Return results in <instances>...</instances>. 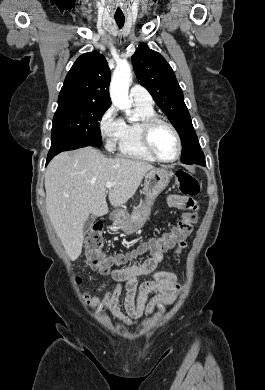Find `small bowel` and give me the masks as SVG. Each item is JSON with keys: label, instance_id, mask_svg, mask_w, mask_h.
Listing matches in <instances>:
<instances>
[{"label": "small bowel", "instance_id": "small-bowel-1", "mask_svg": "<svg viewBox=\"0 0 265 390\" xmlns=\"http://www.w3.org/2000/svg\"><path fill=\"white\" fill-rule=\"evenodd\" d=\"M170 206L186 210H197L198 206L192 197L184 195H170L168 197ZM174 227L170 230L172 231ZM169 232L164 233L161 237L168 236ZM158 244V238H153L147 243L138 247V249L129 256L118 255L115 261L121 266L111 272L112 285L99 301L97 297L91 299V305L94 308L99 307L103 314L112 318L118 323L125 326H133L137 324L143 317L152 315L157 310L165 308L174 298V292L179 288L177 276L169 271H157L158 265L163 261L167 250L176 248L179 254L185 247L184 239L179 241L169 240L165 246L160 249H155ZM151 256L139 265L126 264L129 257L137 254H143L151 251ZM142 275H152V280L138 283V277ZM126 283V299L125 308L127 314H124L119 307V295L121 293V283ZM106 285H101L96 288V292L100 293ZM156 292L157 294L148 299V294Z\"/></svg>", "mask_w": 265, "mask_h": 390}]
</instances>
